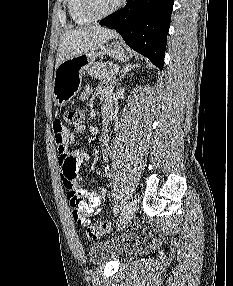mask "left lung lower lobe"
<instances>
[{
  "label": "left lung lower lobe",
  "instance_id": "obj_1",
  "mask_svg": "<svg viewBox=\"0 0 233 286\" xmlns=\"http://www.w3.org/2000/svg\"><path fill=\"white\" fill-rule=\"evenodd\" d=\"M173 3L174 0H128L122 10L99 23L114 28L127 45L162 70Z\"/></svg>",
  "mask_w": 233,
  "mask_h": 286
}]
</instances>
